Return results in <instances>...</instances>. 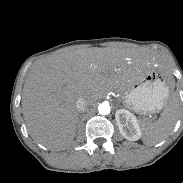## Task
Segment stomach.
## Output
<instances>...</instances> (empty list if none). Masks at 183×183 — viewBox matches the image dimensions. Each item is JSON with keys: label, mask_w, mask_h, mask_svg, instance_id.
I'll list each match as a JSON object with an SVG mask.
<instances>
[{"label": "stomach", "mask_w": 183, "mask_h": 183, "mask_svg": "<svg viewBox=\"0 0 183 183\" xmlns=\"http://www.w3.org/2000/svg\"><path fill=\"white\" fill-rule=\"evenodd\" d=\"M169 85L160 77L153 65L142 69L127 84L122 92L126 107L140 113H154L161 110L168 100Z\"/></svg>", "instance_id": "stomach-1"}]
</instances>
